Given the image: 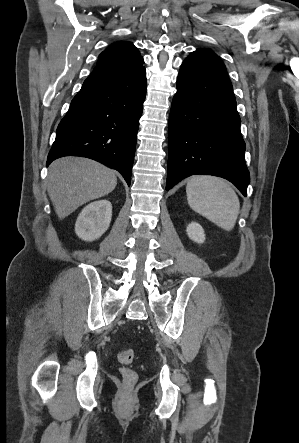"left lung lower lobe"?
I'll use <instances>...</instances> for the list:
<instances>
[{
    "label": "left lung lower lobe",
    "mask_w": 299,
    "mask_h": 443,
    "mask_svg": "<svg viewBox=\"0 0 299 443\" xmlns=\"http://www.w3.org/2000/svg\"><path fill=\"white\" fill-rule=\"evenodd\" d=\"M245 142L231 82L181 65L168 130V191L184 178H225L246 196Z\"/></svg>",
    "instance_id": "left-lung-lower-lobe-1"
}]
</instances>
